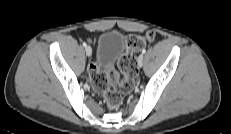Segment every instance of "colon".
Here are the masks:
<instances>
[{"mask_svg": "<svg viewBox=\"0 0 231 134\" xmlns=\"http://www.w3.org/2000/svg\"><path fill=\"white\" fill-rule=\"evenodd\" d=\"M154 33L145 35L130 34L126 37V52L120 57L119 71L110 69L103 73L94 63L89 67V80L93 89L98 92L110 109H116L122 103L124 95L133 90L138 68L135 53L143 48L148 42L154 40Z\"/></svg>", "mask_w": 231, "mask_h": 134, "instance_id": "1", "label": "colon"}]
</instances>
